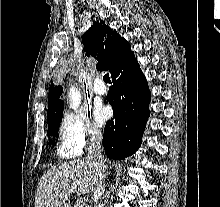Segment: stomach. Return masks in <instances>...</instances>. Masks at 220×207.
Masks as SVG:
<instances>
[{"label": "stomach", "mask_w": 220, "mask_h": 207, "mask_svg": "<svg viewBox=\"0 0 220 207\" xmlns=\"http://www.w3.org/2000/svg\"><path fill=\"white\" fill-rule=\"evenodd\" d=\"M62 207H70L69 205L64 204Z\"/></svg>", "instance_id": "obj_1"}]
</instances>
